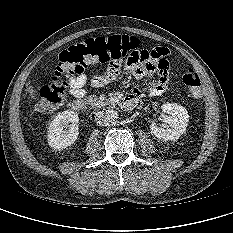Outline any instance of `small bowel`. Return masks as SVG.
<instances>
[{
	"instance_id": "c3829d8e",
	"label": "small bowel",
	"mask_w": 233,
	"mask_h": 233,
	"mask_svg": "<svg viewBox=\"0 0 233 233\" xmlns=\"http://www.w3.org/2000/svg\"><path fill=\"white\" fill-rule=\"evenodd\" d=\"M156 49L153 47H142L130 50L119 61H109L106 65V70L93 76L91 79L86 73L72 78L69 84L70 95L81 99L86 95L85 86L88 82L93 87H103L114 81L123 71L142 78H149L155 73L159 77L151 83L149 93L153 96L161 95L168 86L167 74L171 70V63L167 59L169 55L168 49ZM131 95H135L140 99L142 91L136 87L132 90Z\"/></svg>"
}]
</instances>
